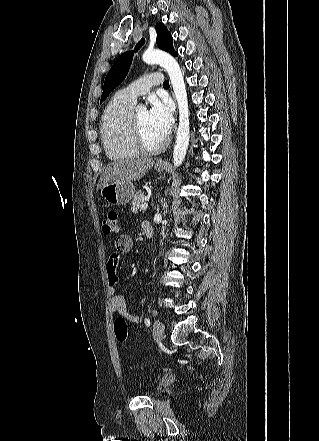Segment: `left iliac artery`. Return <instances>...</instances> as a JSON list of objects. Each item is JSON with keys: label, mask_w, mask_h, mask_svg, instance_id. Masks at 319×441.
<instances>
[{"label": "left iliac artery", "mask_w": 319, "mask_h": 441, "mask_svg": "<svg viewBox=\"0 0 319 441\" xmlns=\"http://www.w3.org/2000/svg\"><path fill=\"white\" fill-rule=\"evenodd\" d=\"M145 325L148 326V327L150 326V319L149 318L145 319Z\"/></svg>", "instance_id": "44dca946"}]
</instances>
